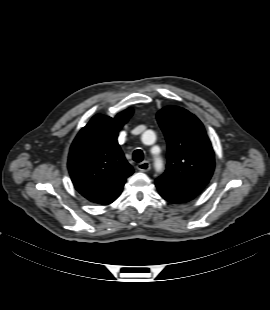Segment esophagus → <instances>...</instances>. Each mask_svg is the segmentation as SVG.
<instances>
[{
    "instance_id": "1",
    "label": "esophagus",
    "mask_w": 270,
    "mask_h": 310,
    "mask_svg": "<svg viewBox=\"0 0 270 310\" xmlns=\"http://www.w3.org/2000/svg\"><path fill=\"white\" fill-rule=\"evenodd\" d=\"M151 168V165L148 161H143L137 165V169L142 172H147Z\"/></svg>"
}]
</instances>
